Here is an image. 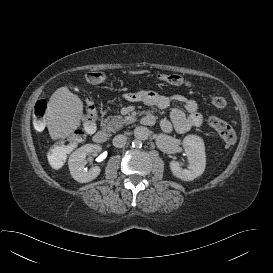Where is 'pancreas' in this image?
<instances>
[{
	"instance_id": "pancreas-1",
	"label": "pancreas",
	"mask_w": 273,
	"mask_h": 273,
	"mask_svg": "<svg viewBox=\"0 0 273 273\" xmlns=\"http://www.w3.org/2000/svg\"><path fill=\"white\" fill-rule=\"evenodd\" d=\"M133 117H126L123 118L122 116H109L106 119H104L102 123V127L107 131V132H116L120 130L124 124H130L134 122Z\"/></svg>"
}]
</instances>
